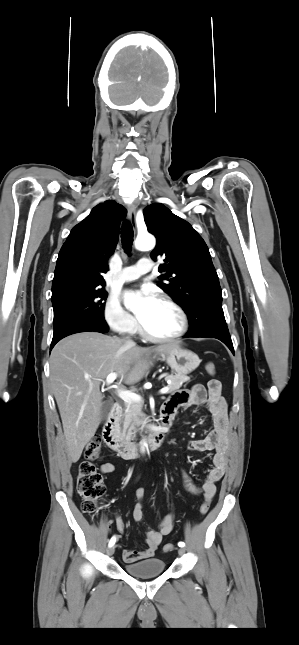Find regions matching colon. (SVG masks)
Instances as JSON below:
<instances>
[{
    "mask_svg": "<svg viewBox=\"0 0 299 645\" xmlns=\"http://www.w3.org/2000/svg\"><path fill=\"white\" fill-rule=\"evenodd\" d=\"M206 370L209 374H215V366L212 362L206 363ZM208 387L212 390L221 388L218 380H211ZM101 450V443L99 438L91 439L84 449V460L81 462L77 475L76 489L82 498V511L88 515H95L98 510V504L105 495V486L102 481L101 474L93 461L98 458ZM209 502H204L200 507L202 515L207 514L209 510ZM164 552H171L174 550L173 544H166L163 547Z\"/></svg>",
    "mask_w": 299,
    "mask_h": 645,
    "instance_id": "5ec220e1",
    "label": "colon"
}]
</instances>
